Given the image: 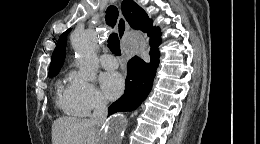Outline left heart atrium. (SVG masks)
Wrapping results in <instances>:
<instances>
[{"label":"left heart atrium","mask_w":260,"mask_h":144,"mask_svg":"<svg viewBox=\"0 0 260 144\" xmlns=\"http://www.w3.org/2000/svg\"><path fill=\"white\" fill-rule=\"evenodd\" d=\"M100 82L105 96L109 99H115L123 92L124 81L122 76L117 72L102 74Z\"/></svg>","instance_id":"1"}]
</instances>
